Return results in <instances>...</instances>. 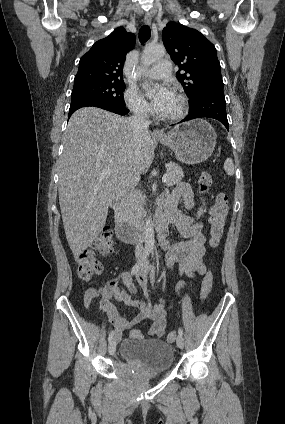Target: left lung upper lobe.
Returning a JSON list of instances; mask_svg holds the SVG:
<instances>
[{"label":"left lung upper lobe","mask_w":285,"mask_h":424,"mask_svg":"<svg viewBox=\"0 0 285 424\" xmlns=\"http://www.w3.org/2000/svg\"><path fill=\"white\" fill-rule=\"evenodd\" d=\"M162 38L167 52L179 66L176 76L190 103L205 91L223 89L216 48L202 33L169 22L163 29ZM180 71L185 73L180 74Z\"/></svg>","instance_id":"obj_1"}]
</instances>
